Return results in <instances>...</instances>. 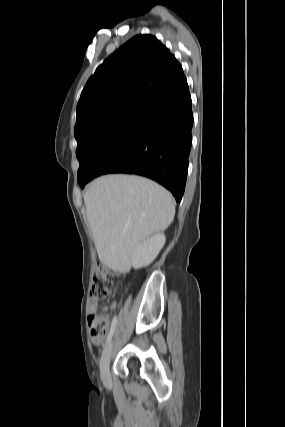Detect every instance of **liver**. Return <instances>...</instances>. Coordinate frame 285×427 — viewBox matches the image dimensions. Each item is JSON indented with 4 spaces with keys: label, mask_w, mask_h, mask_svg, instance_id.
Returning <instances> with one entry per match:
<instances>
[{
    "label": "liver",
    "mask_w": 285,
    "mask_h": 427,
    "mask_svg": "<svg viewBox=\"0 0 285 427\" xmlns=\"http://www.w3.org/2000/svg\"><path fill=\"white\" fill-rule=\"evenodd\" d=\"M87 219L100 261L126 269L141 241L165 230L175 203L162 186L143 177L112 174L95 179L84 193Z\"/></svg>",
    "instance_id": "obj_1"
}]
</instances>
